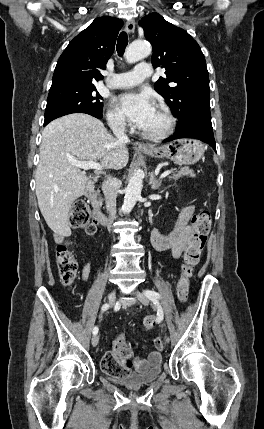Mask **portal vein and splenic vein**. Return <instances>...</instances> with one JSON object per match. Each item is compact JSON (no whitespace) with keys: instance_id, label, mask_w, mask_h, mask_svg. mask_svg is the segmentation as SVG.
I'll list each match as a JSON object with an SVG mask.
<instances>
[{"instance_id":"portal-vein-and-splenic-vein-1","label":"portal vein and splenic vein","mask_w":264,"mask_h":429,"mask_svg":"<svg viewBox=\"0 0 264 429\" xmlns=\"http://www.w3.org/2000/svg\"><path fill=\"white\" fill-rule=\"evenodd\" d=\"M70 163L76 167L82 168L84 170L94 169V170H102L103 167L97 161H77L71 160ZM171 170H166L160 176V179L165 178L166 176L171 174Z\"/></svg>"}]
</instances>
